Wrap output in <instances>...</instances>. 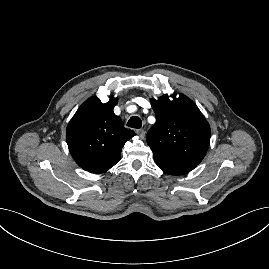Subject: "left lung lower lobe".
<instances>
[{
	"instance_id": "1",
	"label": "left lung lower lobe",
	"mask_w": 269,
	"mask_h": 269,
	"mask_svg": "<svg viewBox=\"0 0 269 269\" xmlns=\"http://www.w3.org/2000/svg\"><path fill=\"white\" fill-rule=\"evenodd\" d=\"M157 166L163 170L166 174L170 175H181L188 173L193 170L197 165L189 163H178V164H164L155 161Z\"/></svg>"
}]
</instances>
